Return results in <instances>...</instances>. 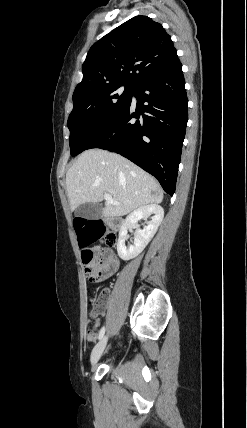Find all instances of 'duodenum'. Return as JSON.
<instances>
[{"label":"duodenum","instance_id":"duodenum-1","mask_svg":"<svg viewBox=\"0 0 247 428\" xmlns=\"http://www.w3.org/2000/svg\"><path fill=\"white\" fill-rule=\"evenodd\" d=\"M106 221H107L108 225L110 227H112L113 229H119L123 224L122 219L119 217H110Z\"/></svg>","mask_w":247,"mask_h":428}]
</instances>
